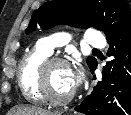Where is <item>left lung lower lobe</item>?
<instances>
[{
	"label": "left lung lower lobe",
	"mask_w": 131,
	"mask_h": 115,
	"mask_svg": "<svg viewBox=\"0 0 131 115\" xmlns=\"http://www.w3.org/2000/svg\"><path fill=\"white\" fill-rule=\"evenodd\" d=\"M108 56L102 80L75 110L85 115H131V16L107 38ZM97 63L90 69L93 73Z\"/></svg>",
	"instance_id": "0a47b994"
}]
</instances>
